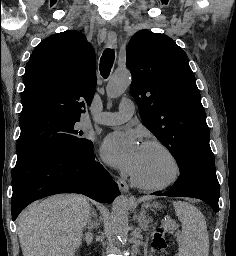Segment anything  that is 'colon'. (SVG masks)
<instances>
[{
  "label": "colon",
  "mask_w": 236,
  "mask_h": 256,
  "mask_svg": "<svg viewBox=\"0 0 236 256\" xmlns=\"http://www.w3.org/2000/svg\"><path fill=\"white\" fill-rule=\"evenodd\" d=\"M153 256H166V239L165 233L158 229L152 239Z\"/></svg>",
  "instance_id": "5ec220e1"
}]
</instances>
